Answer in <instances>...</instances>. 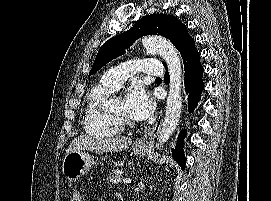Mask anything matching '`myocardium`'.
Returning a JSON list of instances; mask_svg holds the SVG:
<instances>
[{
  "instance_id": "1",
  "label": "myocardium",
  "mask_w": 271,
  "mask_h": 201,
  "mask_svg": "<svg viewBox=\"0 0 271 201\" xmlns=\"http://www.w3.org/2000/svg\"><path fill=\"white\" fill-rule=\"evenodd\" d=\"M115 121L121 126V127H129V128H135L136 123L132 121L130 118L120 115L114 111L110 112Z\"/></svg>"
}]
</instances>
